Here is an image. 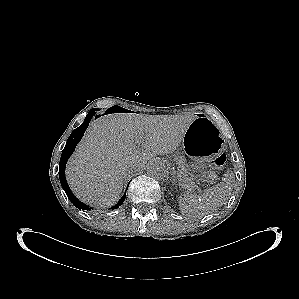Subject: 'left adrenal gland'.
I'll return each instance as SVG.
<instances>
[{
  "mask_svg": "<svg viewBox=\"0 0 299 299\" xmlns=\"http://www.w3.org/2000/svg\"><path fill=\"white\" fill-rule=\"evenodd\" d=\"M175 176L174 175H172V183H175Z\"/></svg>",
  "mask_w": 299,
  "mask_h": 299,
  "instance_id": "obj_1",
  "label": "left adrenal gland"
}]
</instances>
